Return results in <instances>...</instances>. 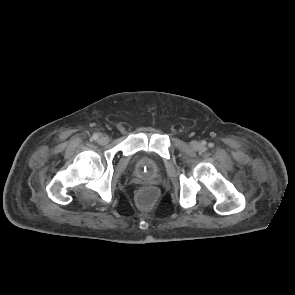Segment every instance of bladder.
Wrapping results in <instances>:
<instances>
[{
  "label": "bladder",
  "instance_id": "31cf9c89",
  "mask_svg": "<svg viewBox=\"0 0 295 295\" xmlns=\"http://www.w3.org/2000/svg\"><path fill=\"white\" fill-rule=\"evenodd\" d=\"M159 170V164L147 156H139L133 165V172L135 176L144 181H151L155 179Z\"/></svg>",
  "mask_w": 295,
  "mask_h": 295
}]
</instances>
